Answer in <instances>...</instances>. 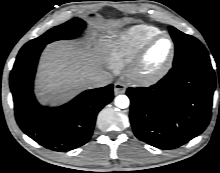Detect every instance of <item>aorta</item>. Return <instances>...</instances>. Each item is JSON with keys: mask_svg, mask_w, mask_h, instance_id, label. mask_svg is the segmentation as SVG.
<instances>
[{"mask_svg": "<svg viewBox=\"0 0 220 173\" xmlns=\"http://www.w3.org/2000/svg\"><path fill=\"white\" fill-rule=\"evenodd\" d=\"M129 104H130V101L126 95H118L115 98V105L118 108L125 109V108L129 107Z\"/></svg>", "mask_w": 220, "mask_h": 173, "instance_id": "1", "label": "aorta"}]
</instances>
